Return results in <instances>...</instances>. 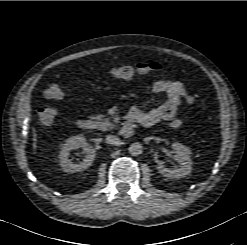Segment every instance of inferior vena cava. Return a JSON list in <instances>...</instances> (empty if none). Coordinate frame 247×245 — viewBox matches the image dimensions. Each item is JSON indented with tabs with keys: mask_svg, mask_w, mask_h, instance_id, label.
Here are the masks:
<instances>
[{
	"mask_svg": "<svg viewBox=\"0 0 247 245\" xmlns=\"http://www.w3.org/2000/svg\"><path fill=\"white\" fill-rule=\"evenodd\" d=\"M106 142L112 145H115L119 142V138L117 136L114 135H108L106 137Z\"/></svg>",
	"mask_w": 247,
	"mask_h": 245,
	"instance_id": "602c4592",
	"label": "inferior vena cava"
}]
</instances>
